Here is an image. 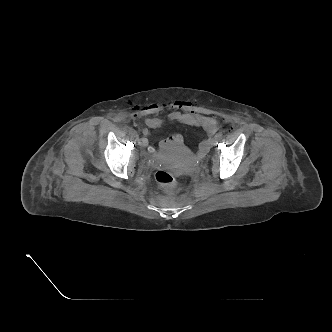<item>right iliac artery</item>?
Returning <instances> with one entry per match:
<instances>
[{"label":"right iliac artery","instance_id":"82829eb1","mask_svg":"<svg viewBox=\"0 0 332 332\" xmlns=\"http://www.w3.org/2000/svg\"><path fill=\"white\" fill-rule=\"evenodd\" d=\"M125 130L128 131V132H130V131H132V128L129 127V126H126V127H125Z\"/></svg>","mask_w":332,"mask_h":332}]
</instances>
